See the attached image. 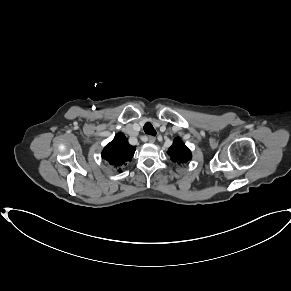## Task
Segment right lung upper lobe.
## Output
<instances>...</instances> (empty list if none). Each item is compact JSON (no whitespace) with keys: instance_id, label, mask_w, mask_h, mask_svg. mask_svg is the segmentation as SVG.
<instances>
[{"instance_id":"1","label":"right lung upper lobe","mask_w":291,"mask_h":291,"mask_svg":"<svg viewBox=\"0 0 291 291\" xmlns=\"http://www.w3.org/2000/svg\"><path fill=\"white\" fill-rule=\"evenodd\" d=\"M134 153L135 146H131L127 138L118 133L102 151V158L121 171V167L131 161Z\"/></svg>"}]
</instances>
